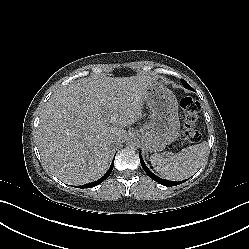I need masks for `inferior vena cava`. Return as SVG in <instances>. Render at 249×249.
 <instances>
[{
  "instance_id": "obj_1",
  "label": "inferior vena cava",
  "mask_w": 249,
  "mask_h": 249,
  "mask_svg": "<svg viewBox=\"0 0 249 249\" xmlns=\"http://www.w3.org/2000/svg\"><path fill=\"white\" fill-rule=\"evenodd\" d=\"M111 141H112V142H117V141H118V138H117L116 136H112V137H111Z\"/></svg>"
}]
</instances>
